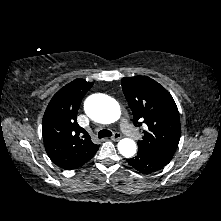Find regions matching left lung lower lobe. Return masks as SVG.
<instances>
[{
    "label": "left lung lower lobe",
    "mask_w": 221,
    "mask_h": 221,
    "mask_svg": "<svg viewBox=\"0 0 221 221\" xmlns=\"http://www.w3.org/2000/svg\"><path fill=\"white\" fill-rule=\"evenodd\" d=\"M127 162L137 171L145 174L156 172L169 163L140 150L136 157L127 159Z\"/></svg>",
    "instance_id": "1"
}]
</instances>
